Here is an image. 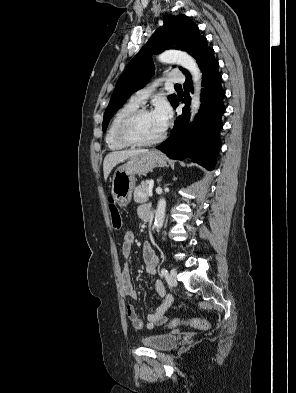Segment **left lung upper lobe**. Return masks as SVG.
<instances>
[{
  "label": "left lung upper lobe",
  "mask_w": 296,
  "mask_h": 393,
  "mask_svg": "<svg viewBox=\"0 0 296 393\" xmlns=\"http://www.w3.org/2000/svg\"><path fill=\"white\" fill-rule=\"evenodd\" d=\"M167 49H179L192 55L198 65L213 50L207 46V40L199 33L198 26L190 22L186 15L173 16L167 14L164 17V25L152 35L147 44L133 57L119 77L109 105L103 118V132L111 116L127 101L128 97L137 90L144 87L154 73L151 62L152 52H162ZM182 72L189 75L186 69ZM170 103L175 107L178 98L175 94L168 97Z\"/></svg>",
  "instance_id": "1"
}]
</instances>
